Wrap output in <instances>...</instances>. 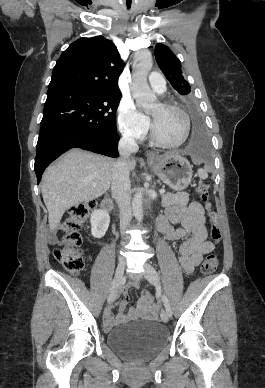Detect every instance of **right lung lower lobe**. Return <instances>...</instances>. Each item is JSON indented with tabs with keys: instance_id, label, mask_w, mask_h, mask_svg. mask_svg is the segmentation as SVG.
<instances>
[{
	"instance_id": "right-lung-lower-lobe-1",
	"label": "right lung lower lobe",
	"mask_w": 265,
	"mask_h": 388,
	"mask_svg": "<svg viewBox=\"0 0 265 388\" xmlns=\"http://www.w3.org/2000/svg\"><path fill=\"white\" fill-rule=\"evenodd\" d=\"M119 135L103 134L85 127L60 126L41 132L34 170L38 183L45 168L70 148L79 147L110 157L118 156Z\"/></svg>"
}]
</instances>
